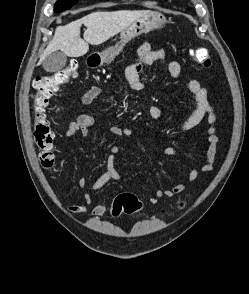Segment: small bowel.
<instances>
[{
  "mask_svg": "<svg viewBox=\"0 0 249 294\" xmlns=\"http://www.w3.org/2000/svg\"><path fill=\"white\" fill-rule=\"evenodd\" d=\"M165 51L163 49H155L150 43H144L137 50V61L129 65L126 69V79L129 87L134 91H139L143 88L142 72L145 67L152 65L154 62L161 60L165 57ZM168 71L173 78H178L181 75L182 67L179 62L172 61L169 63ZM188 90L190 100L195 102L196 107L192 113L180 122L177 126V131L180 133L187 132L201 123L203 119H206L209 128L207 130V151L205 154L204 162L201 165L200 170L192 168L187 176L185 182H179L176 185L156 190L150 197L149 202L151 204H157L162 197L172 198L181 194L187 183L194 182L198 176L199 171L211 172L214 169L217 148L219 144V138L215 134L214 124L216 122V115L212 105L208 101V90L203 87L199 81L193 79L188 83ZM101 92V87L93 85L89 87L81 96V102L84 105L90 104ZM147 113L151 119H160L164 116L165 111L158 105H152L148 107ZM95 119L89 114H80L76 120L70 122L65 135L67 137L73 136L76 133H80L83 137L90 136V129L93 126ZM109 132L114 137H131L132 131L126 127L120 125H113L110 127ZM121 147L118 144H114L110 148V154L107 158L106 171L100 175L91 185V189L96 191L102 189L110 181L121 180V174L114 167V161L116 155L120 152ZM166 156H172L175 154L173 147H167L164 150ZM79 185L84 187L86 181L84 179L79 180ZM69 196V194H66ZM93 197L90 193L83 195L82 201L78 204H73L68 207L69 213L78 214L86 212L88 206L92 203ZM108 209L106 203H99L91 210V215L95 218L102 217Z\"/></svg>",
  "mask_w": 249,
  "mask_h": 294,
  "instance_id": "obj_1",
  "label": "small bowel"
}]
</instances>
